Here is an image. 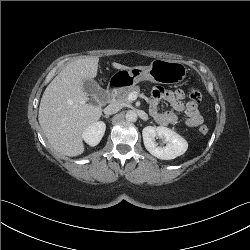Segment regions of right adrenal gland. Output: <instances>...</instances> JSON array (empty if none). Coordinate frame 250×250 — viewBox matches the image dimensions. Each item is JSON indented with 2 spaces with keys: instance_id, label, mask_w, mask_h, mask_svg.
I'll return each instance as SVG.
<instances>
[{
  "instance_id": "obj_1",
  "label": "right adrenal gland",
  "mask_w": 250,
  "mask_h": 250,
  "mask_svg": "<svg viewBox=\"0 0 250 250\" xmlns=\"http://www.w3.org/2000/svg\"><path fill=\"white\" fill-rule=\"evenodd\" d=\"M103 117H104V118H109V117H110V115H104Z\"/></svg>"
}]
</instances>
